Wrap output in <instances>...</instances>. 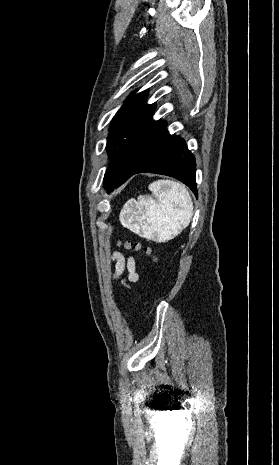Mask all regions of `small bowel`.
<instances>
[{
    "mask_svg": "<svg viewBox=\"0 0 279 465\" xmlns=\"http://www.w3.org/2000/svg\"><path fill=\"white\" fill-rule=\"evenodd\" d=\"M112 258L115 262V278H120L125 270H127V282L125 286L129 287L130 283L138 280V273L136 272V262L133 257L125 258L120 252H114Z\"/></svg>",
    "mask_w": 279,
    "mask_h": 465,
    "instance_id": "c3829d8e",
    "label": "small bowel"
}]
</instances>
